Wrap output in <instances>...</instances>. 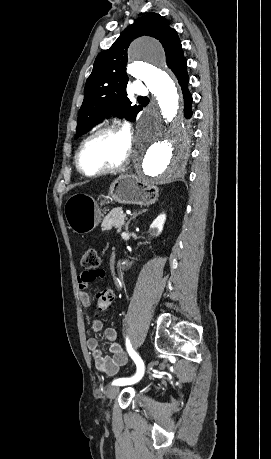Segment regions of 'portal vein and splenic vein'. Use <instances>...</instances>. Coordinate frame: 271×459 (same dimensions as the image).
<instances>
[{"label": "portal vein and splenic vein", "instance_id": "portal-vein-and-splenic-vein-1", "mask_svg": "<svg viewBox=\"0 0 271 459\" xmlns=\"http://www.w3.org/2000/svg\"><path fill=\"white\" fill-rule=\"evenodd\" d=\"M120 216H121V217H124V216L127 217L128 215H127V214H125V215H124V214H121Z\"/></svg>", "mask_w": 271, "mask_h": 459}]
</instances>
